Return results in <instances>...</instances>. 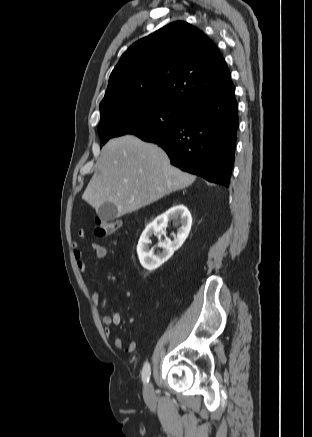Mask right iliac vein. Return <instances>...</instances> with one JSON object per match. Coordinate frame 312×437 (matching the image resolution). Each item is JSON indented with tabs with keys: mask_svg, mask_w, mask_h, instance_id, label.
I'll list each match as a JSON object with an SVG mask.
<instances>
[{
	"mask_svg": "<svg viewBox=\"0 0 312 437\" xmlns=\"http://www.w3.org/2000/svg\"><path fill=\"white\" fill-rule=\"evenodd\" d=\"M144 398L147 402H152L154 399L153 386L151 383H148L144 388Z\"/></svg>",
	"mask_w": 312,
	"mask_h": 437,
	"instance_id": "right-iliac-vein-1",
	"label": "right iliac vein"
}]
</instances>
